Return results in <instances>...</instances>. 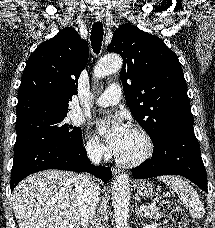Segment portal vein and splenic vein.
I'll return each instance as SVG.
<instances>
[{
  "instance_id": "1",
  "label": "portal vein and splenic vein",
  "mask_w": 215,
  "mask_h": 228,
  "mask_svg": "<svg viewBox=\"0 0 215 228\" xmlns=\"http://www.w3.org/2000/svg\"><path fill=\"white\" fill-rule=\"evenodd\" d=\"M147 208H149V206H141L140 210H143L144 212V210H147Z\"/></svg>"
}]
</instances>
